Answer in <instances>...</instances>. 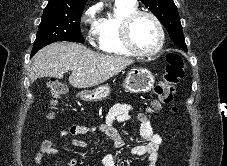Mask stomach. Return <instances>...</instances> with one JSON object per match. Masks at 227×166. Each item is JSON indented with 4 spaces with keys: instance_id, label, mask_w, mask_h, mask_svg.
<instances>
[{
    "instance_id": "obj_1",
    "label": "stomach",
    "mask_w": 227,
    "mask_h": 166,
    "mask_svg": "<svg viewBox=\"0 0 227 166\" xmlns=\"http://www.w3.org/2000/svg\"><path fill=\"white\" fill-rule=\"evenodd\" d=\"M154 82V76L148 69L134 68L127 74L123 86L129 92L145 93L152 89ZM110 92L108 85H102L92 91H80L77 97L83 101H99L107 98Z\"/></svg>"
}]
</instances>
